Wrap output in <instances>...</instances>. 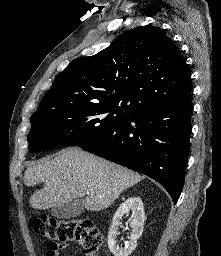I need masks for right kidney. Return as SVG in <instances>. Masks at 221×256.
Masks as SVG:
<instances>
[{"instance_id":"ca27d5eb","label":"right kidney","mask_w":221,"mask_h":256,"mask_svg":"<svg viewBox=\"0 0 221 256\" xmlns=\"http://www.w3.org/2000/svg\"><path fill=\"white\" fill-rule=\"evenodd\" d=\"M132 211V220L130 227L132 228L131 235L128 241L125 242L124 247H119L116 244V237L118 234V226L122 217ZM145 221V213L143 202L139 197H129L117 209L113 216L112 225L108 234V247L114 256H129L137 246V240L141 237L143 232V225Z\"/></svg>"}]
</instances>
